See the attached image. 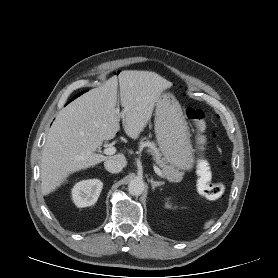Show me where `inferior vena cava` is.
I'll list each match as a JSON object with an SVG mask.
<instances>
[{"mask_svg":"<svg viewBox=\"0 0 278 278\" xmlns=\"http://www.w3.org/2000/svg\"><path fill=\"white\" fill-rule=\"evenodd\" d=\"M104 167L108 172L111 173H118L123 169L122 163L113 159L106 160L104 162Z\"/></svg>","mask_w":278,"mask_h":278,"instance_id":"inferior-vena-cava-1","label":"inferior vena cava"}]
</instances>
